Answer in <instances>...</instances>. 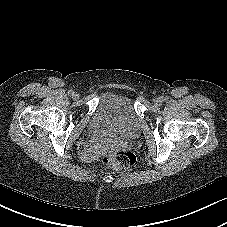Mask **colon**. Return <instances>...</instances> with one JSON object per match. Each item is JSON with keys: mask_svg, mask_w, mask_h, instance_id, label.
<instances>
[{"mask_svg": "<svg viewBox=\"0 0 227 227\" xmlns=\"http://www.w3.org/2000/svg\"><path fill=\"white\" fill-rule=\"evenodd\" d=\"M102 161L109 168L121 169L132 166L136 157L131 151L122 150L104 155Z\"/></svg>", "mask_w": 227, "mask_h": 227, "instance_id": "1", "label": "colon"}]
</instances>
